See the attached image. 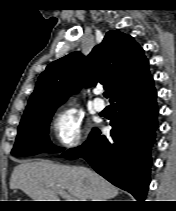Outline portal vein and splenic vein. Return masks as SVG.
Here are the masks:
<instances>
[{
    "instance_id": "1",
    "label": "portal vein and splenic vein",
    "mask_w": 176,
    "mask_h": 211,
    "mask_svg": "<svg viewBox=\"0 0 176 211\" xmlns=\"http://www.w3.org/2000/svg\"><path fill=\"white\" fill-rule=\"evenodd\" d=\"M57 193H58L59 195L63 196V197L66 199V201H78V199H76V198L70 196V195H69L66 191H64V190H57Z\"/></svg>"
}]
</instances>
